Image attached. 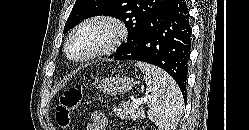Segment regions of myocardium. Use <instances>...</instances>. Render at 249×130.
<instances>
[{
	"instance_id": "1",
	"label": "myocardium",
	"mask_w": 249,
	"mask_h": 130,
	"mask_svg": "<svg viewBox=\"0 0 249 130\" xmlns=\"http://www.w3.org/2000/svg\"><path fill=\"white\" fill-rule=\"evenodd\" d=\"M93 25H106L110 27L113 31L111 40L101 48L96 49L85 56L73 57L69 52V45L72 39L79 32ZM127 37L128 29L123 21L109 15H95L81 21L71 30L64 44V52L68 59L74 62L84 63L113 53L127 39Z\"/></svg>"
}]
</instances>
